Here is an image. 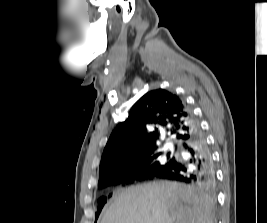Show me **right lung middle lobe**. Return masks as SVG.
Segmentation results:
<instances>
[{
  "mask_svg": "<svg viewBox=\"0 0 267 223\" xmlns=\"http://www.w3.org/2000/svg\"><path fill=\"white\" fill-rule=\"evenodd\" d=\"M176 159L177 157L174 152L169 151L164 153L156 151L146 157L136 160L133 165L135 170L131 175L125 173L123 168L110 171L104 177L99 179V187L109 186L115 179L122 177H129L130 181L152 178L161 170L175 163ZM106 201L107 198L105 197L98 200V210L95 215L96 219Z\"/></svg>",
  "mask_w": 267,
  "mask_h": 223,
  "instance_id": "right-lung-middle-lobe-1",
  "label": "right lung middle lobe"
}]
</instances>
